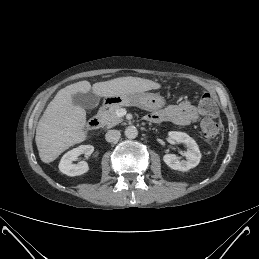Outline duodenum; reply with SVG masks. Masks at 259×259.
Masks as SVG:
<instances>
[{
    "label": "duodenum",
    "mask_w": 259,
    "mask_h": 259,
    "mask_svg": "<svg viewBox=\"0 0 259 259\" xmlns=\"http://www.w3.org/2000/svg\"><path fill=\"white\" fill-rule=\"evenodd\" d=\"M110 103H111L110 101H105L104 103H102V105L99 108V111L106 108ZM100 126H101V119H100L99 115H96L93 118H91L88 123V127L90 130H97L100 128Z\"/></svg>",
    "instance_id": "1"
}]
</instances>
